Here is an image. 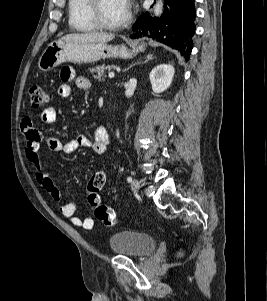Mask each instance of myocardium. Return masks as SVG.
<instances>
[{"instance_id":"obj_1","label":"myocardium","mask_w":267,"mask_h":301,"mask_svg":"<svg viewBox=\"0 0 267 301\" xmlns=\"http://www.w3.org/2000/svg\"><path fill=\"white\" fill-rule=\"evenodd\" d=\"M101 3L102 0H89V14L97 28L103 30H118L129 24L131 20V7L129 4H127L126 16L121 21L111 24L107 23L101 16Z\"/></svg>"}]
</instances>
